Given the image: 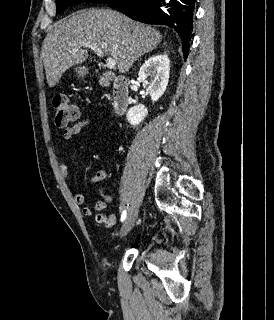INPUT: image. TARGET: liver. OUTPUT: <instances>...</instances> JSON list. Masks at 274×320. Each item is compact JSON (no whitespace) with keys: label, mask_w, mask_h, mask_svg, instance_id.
I'll return each mask as SVG.
<instances>
[{"label":"liver","mask_w":274,"mask_h":320,"mask_svg":"<svg viewBox=\"0 0 274 320\" xmlns=\"http://www.w3.org/2000/svg\"><path fill=\"white\" fill-rule=\"evenodd\" d=\"M82 42L96 44L104 54L116 60L120 74H126L140 56L149 54L162 42L158 30L134 22L114 10H79L54 24L47 34L42 56L49 88L56 86L66 70L83 64L88 50Z\"/></svg>","instance_id":"1"}]
</instances>
